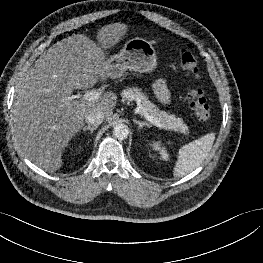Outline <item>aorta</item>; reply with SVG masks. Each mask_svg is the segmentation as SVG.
I'll list each match as a JSON object with an SVG mask.
<instances>
[{
	"instance_id": "aorta-1",
	"label": "aorta",
	"mask_w": 263,
	"mask_h": 263,
	"mask_svg": "<svg viewBox=\"0 0 263 263\" xmlns=\"http://www.w3.org/2000/svg\"><path fill=\"white\" fill-rule=\"evenodd\" d=\"M113 135L119 139L124 140L129 135L128 127L125 124H117L114 126Z\"/></svg>"
}]
</instances>
